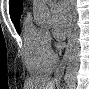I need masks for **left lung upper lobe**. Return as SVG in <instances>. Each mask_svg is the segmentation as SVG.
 <instances>
[{
    "mask_svg": "<svg viewBox=\"0 0 89 89\" xmlns=\"http://www.w3.org/2000/svg\"><path fill=\"white\" fill-rule=\"evenodd\" d=\"M17 0H9V9H10V15L13 13L14 5L16 4Z\"/></svg>",
    "mask_w": 89,
    "mask_h": 89,
    "instance_id": "5c2ea615",
    "label": "left lung upper lobe"
}]
</instances>
